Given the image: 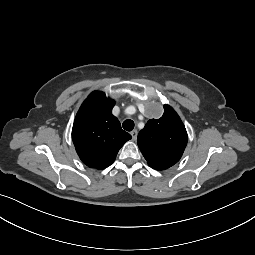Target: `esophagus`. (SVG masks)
<instances>
[{"label": "esophagus", "instance_id": "obj_1", "mask_svg": "<svg viewBox=\"0 0 255 255\" xmlns=\"http://www.w3.org/2000/svg\"><path fill=\"white\" fill-rule=\"evenodd\" d=\"M130 134H131L133 140H136V139H137V134H138L137 130L131 131Z\"/></svg>", "mask_w": 255, "mask_h": 255}]
</instances>
